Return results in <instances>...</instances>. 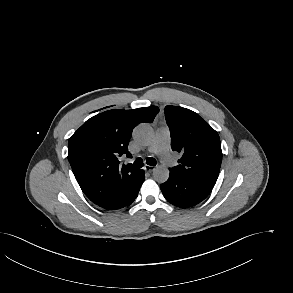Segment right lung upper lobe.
<instances>
[{"mask_svg": "<svg viewBox=\"0 0 293 293\" xmlns=\"http://www.w3.org/2000/svg\"><path fill=\"white\" fill-rule=\"evenodd\" d=\"M156 106L133 110H108L87 120L69 139L68 160L84 194L106 210L127 206L138 193L142 170L120 165L131 157L128 144L132 130L141 122L151 123Z\"/></svg>", "mask_w": 293, "mask_h": 293, "instance_id": "obj_1", "label": "right lung upper lobe"}]
</instances>
